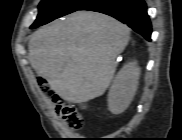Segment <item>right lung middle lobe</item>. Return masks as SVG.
Instances as JSON below:
<instances>
[{"mask_svg":"<svg viewBox=\"0 0 182 140\" xmlns=\"http://www.w3.org/2000/svg\"><path fill=\"white\" fill-rule=\"evenodd\" d=\"M91 0H42L39 4L38 16L31 26L36 28L56 18L77 11Z\"/></svg>","mask_w":182,"mask_h":140,"instance_id":"1","label":"right lung middle lobe"}]
</instances>
